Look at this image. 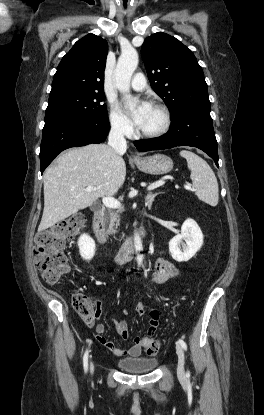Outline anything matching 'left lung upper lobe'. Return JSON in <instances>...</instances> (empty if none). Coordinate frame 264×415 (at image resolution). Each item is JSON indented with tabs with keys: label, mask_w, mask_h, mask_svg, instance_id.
Listing matches in <instances>:
<instances>
[{
	"label": "left lung upper lobe",
	"mask_w": 264,
	"mask_h": 415,
	"mask_svg": "<svg viewBox=\"0 0 264 415\" xmlns=\"http://www.w3.org/2000/svg\"><path fill=\"white\" fill-rule=\"evenodd\" d=\"M141 52L150 84L172 117L191 106H210L203 70L179 40L158 32L144 41Z\"/></svg>",
	"instance_id": "obj_1"
}]
</instances>
